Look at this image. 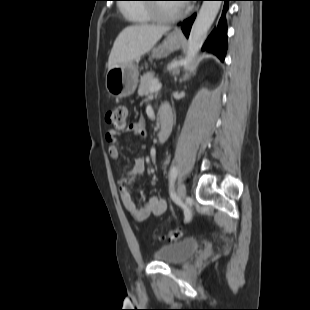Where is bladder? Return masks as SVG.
Listing matches in <instances>:
<instances>
[{
  "instance_id": "31cf9c89",
  "label": "bladder",
  "mask_w": 310,
  "mask_h": 310,
  "mask_svg": "<svg viewBox=\"0 0 310 310\" xmlns=\"http://www.w3.org/2000/svg\"><path fill=\"white\" fill-rule=\"evenodd\" d=\"M199 243L195 239H185L164 245L154 252L157 261L176 265L190 259L197 251Z\"/></svg>"
}]
</instances>
